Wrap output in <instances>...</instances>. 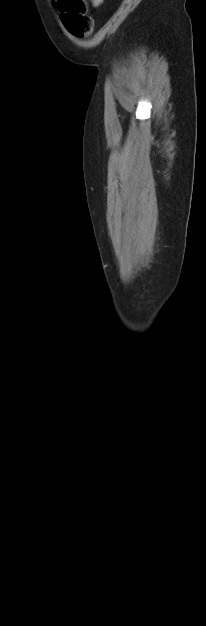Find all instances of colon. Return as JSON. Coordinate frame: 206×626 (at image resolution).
I'll return each mask as SVG.
<instances>
[{"label":"colon","mask_w":206,"mask_h":626,"mask_svg":"<svg viewBox=\"0 0 206 626\" xmlns=\"http://www.w3.org/2000/svg\"><path fill=\"white\" fill-rule=\"evenodd\" d=\"M62 21L67 29L77 37L92 33L93 19L88 15L86 0H57Z\"/></svg>","instance_id":"1"}]
</instances>
